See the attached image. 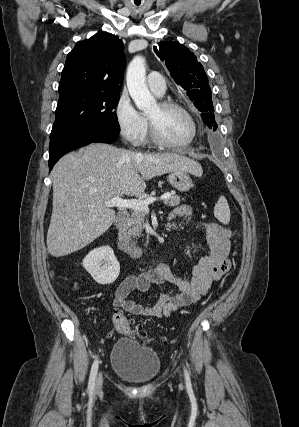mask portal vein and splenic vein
I'll list each match as a JSON object with an SVG mask.
<instances>
[{
  "mask_svg": "<svg viewBox=\"0 0 299 427\" xmlns=\"http://www.w3.org/2000/svg\"><path fill=\"white\" fill-rule=\"evenodd\" d=\"M170 198V194H163L159 199L157 198H148L146 200H136V199H122L118 196L113 197L112 199L105 202L107 207H118V208H129L133 210H141L144 212H149L148 205L155 202L156 200H167Z\"/></svg>",
  "mask_w": 299,
  "mask_h": 427,
  "instance_id": "obj_1",
  "label": "portal vein and splenic vein"
}]
</instances>
